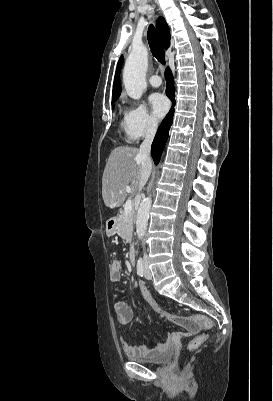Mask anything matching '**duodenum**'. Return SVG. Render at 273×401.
Masks as SVG:
<instances>
[{
    "mask_svg": "<svg viewBox=\"0 0 273 401\" xmlns=\"http://www.w3.org/2000/svg\"><path fill=\"white\" fill-rule=\"evenodd\" d=\"M115 222H116V218H111V219L108 221L107 227H108V230H109V231H112V230L114 229ZM128 259H129V262H130L132 265L135 264V260H136V251H135L134 246H131V247L129 248V251H128Z\"/></svg>",
    "mask_w": 273,
    "mask_h": 401,
    "instance_id": "duodenum-1",
    "label": "duodenum"
}]
</instances>
